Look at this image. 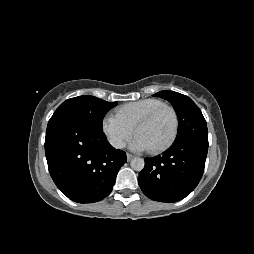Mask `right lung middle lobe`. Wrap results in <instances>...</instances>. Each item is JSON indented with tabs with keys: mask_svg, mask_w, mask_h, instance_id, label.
Masks as SVG:
<instances>
[{
	"mask_svg": "<svg viewBox=\"0 0 254 254\" xmlns=\"http://www.w3.org/2000/svg\"><path fill=\"white\" fill-rule=\"evenodd\" d=\"M116 104L90 95L78 96L64 101L49 121L70 118L102 130L105 114Z\"/></svg>",
	"mask_w": 254,
	"mask_h": 254,
	"instance_id": "right-lung-middle-lobe-1",
	"label": "right lung middle lobe"
}]
</instances>
